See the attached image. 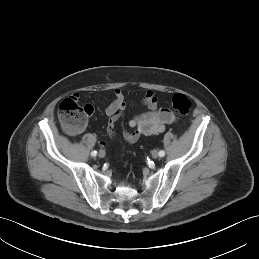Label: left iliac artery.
<instances>
[{"label":"left iliac artery","mask_w":259,"mask_h":259,"mask_svg":"<svg viewBox=\"0 0 259 259\" xmlns=\"http://www.w3.org/2000/svg\"><path fill=\"white\" fill-rule=\"evenodd\" d=\"M164 155H165V151L164 150L159 151V156L160 157H163Z\"/></svg>","instance_id":"obj_1"}]
</instances>
